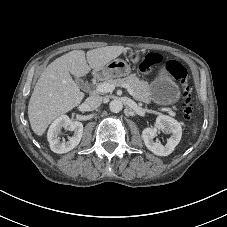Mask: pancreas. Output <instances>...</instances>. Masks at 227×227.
Returning a JSON list of instances; mask_svg holds the SVG:
<instances>
[{
    "mask_svg": "<svg viewBox=\"0 0 227 227\" xmlns=\"http://www.w3.org/2000/svg\"><path fill=\"white\" fill-rule=\"evenodd\" d=\"M104 82L114 84L115 86H121L122 84H128L134 93V98L138 101L147 102L149 100V85L140 80L136 74H130L124 78L106 79ZM103 82V83H104Z\"/></svg>",
    "mask_w": 227,
    "mask_h": 227,
    "instance_id": "pancreas-1",
    "label": "pancreas"
}]
</instances>
